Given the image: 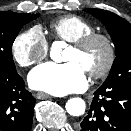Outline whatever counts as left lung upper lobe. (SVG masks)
<instances>
[{
    "label": "left lung upper lobe",
    "instance_id": "5c2ea615",
    "mask_svg": "<svg viewBox=\"0 0 131 131\" xmlns=\"http://www.w3.org/2000/svg\"><path fill=\"white\" fill-rule=\"evenodd\" d=\"M107 28L115 45L116 58L103 85L131 86V24L102 9H85Z\"/></svg>",
    "mask_w": 131,
    "mask_h": 131
}]
</instances>
